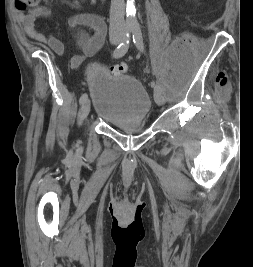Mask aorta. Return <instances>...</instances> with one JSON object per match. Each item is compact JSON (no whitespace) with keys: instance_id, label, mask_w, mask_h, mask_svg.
<instances>
[{"instance_id":"1","label":"aorta","mask_w":253,"mask_h":267,"mask_svg":"<svg viewBox=\"0 0 253 267\" xmlns=\"http://www.w3.org/2000/svg\"><path fill=\"white\" fill-rule=\"evenodd\" d=\"M126 16L127 28H139L138 20L135 14L134 0H127Z\"/></svg>"}]
</instances>
